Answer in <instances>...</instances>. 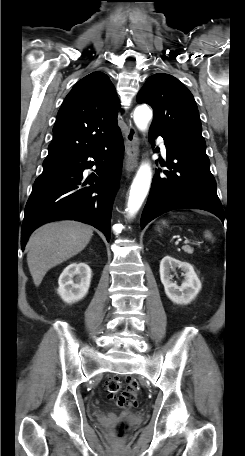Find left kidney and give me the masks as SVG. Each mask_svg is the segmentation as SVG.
I'll list each match as a JSON object with an SVG mask.
<instances>
[{"mask_svg":"<svg viewBox=\"0 0 245 456\" xmlns=\"http://www.w3.org/2000/svg\"><path fill=\"white\" fill-rule=\"evenodd\" d=\"M180 268L184 272L181 286L172 281L170 271ZM160 279L167 297L176 304H189L201 290V282L192 265L165 256L160 262Z\"/></svg>","mask_w":245,"mask_h":456,"instance_id":"obj_1","label":"left kidney"}]
</instances>
